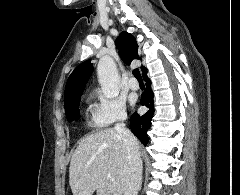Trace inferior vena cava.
<instances>
[{"label": "inferior vena cava", "instance_id": "obj_1", "mask_svg": "<svg viewBox=\"0 0 240 195\" xmlns=\"http://www.w3.org/2000/svg\"><path fill=\"white\" fill-rule=\"evenodd\" d=\"M124 119H127L126 113L120 115V123L115 125L118 137H121L124 145H126L130 167L127 181H125L123 195H138L142 179V163L139 153V143L135 135H133L129 129H126L125 123H123Z\"/></svg>", "mask_w": 240, "mask_h": 195}]
</instances>
